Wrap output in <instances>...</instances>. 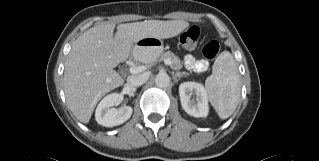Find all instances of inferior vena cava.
<instances>
[{"instance_id":"obj_1","label":"inferior vena cava","mask_w":319,"mask_h":161,"mask_svg":"<svg viewBox=\"0 0 319 161\" xmlns=\"http://www.w3.org/2000/svg\"><path fill=\"white\" fill-rule=\"evenodd\" d=\"M148 77L149 75L147 73L131 75L127 78V82L133 86H140L147 81Z\"/></svg>"}]
</instances>
